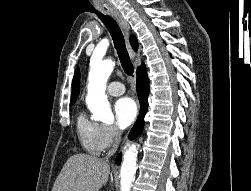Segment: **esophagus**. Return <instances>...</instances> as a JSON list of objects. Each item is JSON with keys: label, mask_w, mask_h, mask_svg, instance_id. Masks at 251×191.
Masks as SVG:
<instances>
[{"label": "esophagus", "mask_w": 251, "mask_h": 191, "mask_svg": "<svg viewBox=\"0 0 251 191\" xmlns=\"http://www.w3.org/2000/svg\"><path fill=\"white\" fill-rule=\"evenodd\" d=\"M111 15H113L117 19L118 23H120L122 29L124 30V34H125V37H126V40H127L128 50L130 52L131 57L134 59L135 56H136V52L131 48V45L129 43L130 32H129L128 23L123 19V17L117 11H112ZM125 139H126V137L124 138L123 142L125 141Z\"/></svg>", "instance_id": "esophagus-1"}]
</instances>
